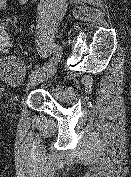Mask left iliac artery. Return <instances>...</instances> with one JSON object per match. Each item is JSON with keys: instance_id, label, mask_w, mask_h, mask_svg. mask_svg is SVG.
Here are the masks:
<instances>
[{"instance_id": "left-iliac-artery-1", "label": "left iliac artery", "mask_w": 131, "mask_h": 177, "mask_svg": "<svg viewBox=\"0 0 131 177\" xmlns=\"http://www.w3.org/2000/svg\"><path fill=\"white\" fill-rule=\"evenodd\" d=\"M53 65V60L52 59H49L48 61L45 62V65L42 66V67H39L37 69H35L34 71H32V73L30 74V77L34 76V75H37L45 70H47V67L48 66H52Z\"/></svg>"}]
</instances>
